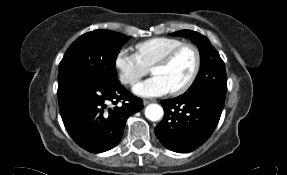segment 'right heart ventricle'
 <instances>
[{"instance_id": "1", "label": "right heart ventricle", "mask_w": 287, "mask_h": 175, "mask_svg": "<svg viewBox=\"0 0 287 175\" xmlns=\"http://www.w3.org/2000/svg\"><path fill=\"white\" fill-rule=\"evenodd\" d=\"M182 43L183 40L174 37H155L138 43L136 49L144 64L151 67L160 57Z\"/></svg>"}]
</instances>
